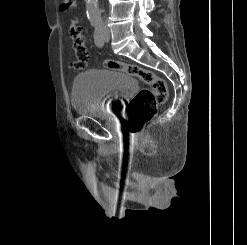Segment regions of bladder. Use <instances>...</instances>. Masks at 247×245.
Here are the masks:
<instances>
[{"instance_id": "bladder-1", "label": "bladder", "mask_w": 247, "mask_h": 245, "mask_svg": "<svg viewBox=\"0 0 247 245\" xmlns=\"http://www.w3.org/2000/svg\"><path fill=\"white\" fill-rule=\"evenodd\" d=\"M136 86V80L124 72L107 68L90 69L74 79L72 107L77 114L92 117L116 113Z\"/></svg>"}]
</instances>
